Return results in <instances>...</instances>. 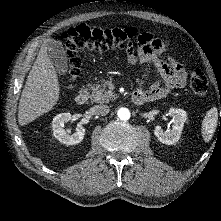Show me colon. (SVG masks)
I'll return each mask as SVG.
<instances>
[{
	"label": "colon",
	"mask_w": 221,
	"mask_h": 221,
	"mask_svg": "<svg viewBox=\"0 0 221 221\" xmlns=\"http://www.w3.org/2000/svg\"><path fill=\"white\" fill-rule=\"evenodd\" d=\"M135 28L101 29L87 25L71 28L63 33L66 53L69 58V87L78 76L80 61L77 53L83 50L105 51L127 46L137 36ZM192 91L203 96L208 91V80L201 69H196L190 79Z\"/></svg>",
	"instance_id": "obj_1"
}]
</instances>
